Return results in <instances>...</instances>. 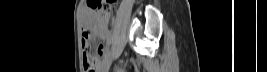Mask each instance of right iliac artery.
<instances>
[{
  "label": "right iliac artery",
  "instance_id": "82829eb1",
  "mask_svg": "<svg viewBox=\"0 0 267 72\" xmlns=\"http://www.w3.org/2000/svg\"><path fill=\"white\" fill-rule=\"evenodd\" d=\"M111 54H112V50H110V51L107 52V54L105 56V59H104V63L109 60V58L111 57Z\"/></svg>",
  "mask_w": 267,
  "mask_h": 72
}]
</instances>
